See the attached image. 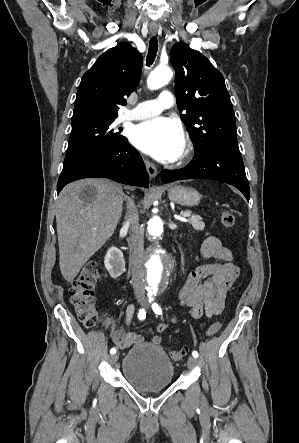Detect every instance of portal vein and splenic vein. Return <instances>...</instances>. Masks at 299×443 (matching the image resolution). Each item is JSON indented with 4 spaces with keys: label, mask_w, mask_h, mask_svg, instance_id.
I'll return each mask as SVG.
<instances>
[{
    "label": "portal vein and splenic vein",
    "mask_w": 299,
    "mask_h": 443,
    "mask_svg": "<svg viewBox=\"0 0 299 443\" xmlns=\"http://www.w3.org/2000/svg\"><path fill=\"white\" fill-rule=\"evenodd\" d=\"M181 215H182L183 217H189V216H190V213L183 212V213H181Z\"/></svg>",
    "instance_id": "portal-vein-and-splenic-vein-1"
}]
</instances>
